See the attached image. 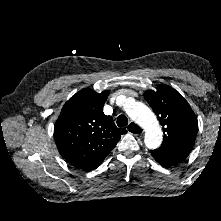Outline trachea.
<instances>
[{"mask_svg": "<svg viewBox=\"0 0 221 221\" xmlns=\"http://www.w3.org/2000/svg\"><path fill=\"white\" fill-rule=\"evenodd\" d=\"M128 124V119L125 115H119L117 118V125L119 127H124Z\"/></svg>", "mask_w": 221, "mask_h": 221, "instance_id": "3493384b", "label": "trachea"}]
</instances>
